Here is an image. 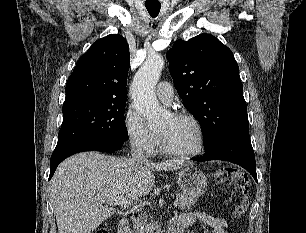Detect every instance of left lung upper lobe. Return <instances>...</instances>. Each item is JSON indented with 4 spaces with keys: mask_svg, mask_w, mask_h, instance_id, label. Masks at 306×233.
<instances>
[{
    "mask_svg": "<svg viewBox=\"0 0 306 233\" xmlns=\"http://www.w3.org/2000/svg\"><path fill=\"white\" fill-rule=\"evenodd\" d=\"M167 58L179 96L202 124L205 149L223 138L249 135L239 67L228 47L200 34L177 40Z\"/></svg>",
    "mask_w": 306,
    "mask_h": 233,
    "instance_id": "obj_1",
    "label": "left lung upper lobe"
}]
</instances>
